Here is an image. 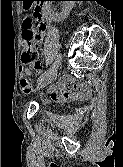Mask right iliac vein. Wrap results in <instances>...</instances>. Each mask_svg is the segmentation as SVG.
<instances>
[{
  "instance_id": "1",
  "label": "right iliac vein",
  "mask_w": 123,
  "mask_h": 167,
  "mask_svg": "<svg viewBox=\"0 0 123 167\" xmlns=\"http://www.w3.org/2000/svg\"><path fill=\"white\" fill-rule=\"evenodd\" d=\"M59 66H60V64L58 66H56L55 68H53L51 70V72L38 84V86L36 88L37 90L46 87L54 80L55 76L57 75V71H58Z\"/></svg>"
}]
</instances>
